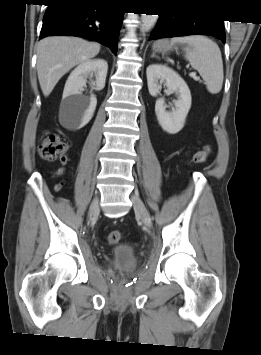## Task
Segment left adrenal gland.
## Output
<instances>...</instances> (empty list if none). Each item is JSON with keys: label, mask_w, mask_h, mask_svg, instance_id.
Listing matches in <instances>:
<instances>
[{"label": "left adrenal gland", "mask_w": 261, "mask_h": 355, "mask_svg": "<svg viewBox=\"0 0 261 355\" xmlns=\"http://www.w3.org/2000/svg\"><path fill=\"white\" fill-rule=\"evenodd\" d=\"M151 57H156V55L153 53V54L151 55Z\"/></svg>", "instance_id": "obj_1"}]
</instances>
